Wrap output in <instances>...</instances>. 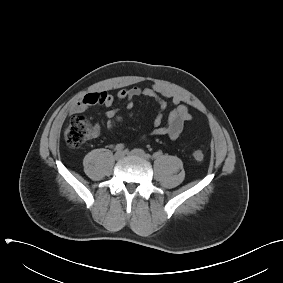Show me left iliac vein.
<instances>
[{
    "label": "left iliac vein",
    "instance_id": "1",
    "mask_svg": "<svg viewBox=\"0 0 283 283\" xmlns=\"http://www.w3.org/2000/svg\"><path fill=\"white\" fill-rule=\"evenodd\" d=\"M129 154L145 160H148L150 158V156L146 154L142 149H133L129 152Z\"/></svg>",
    "mask_w": 283,
    "mask_h": 283
}]
</instances>
